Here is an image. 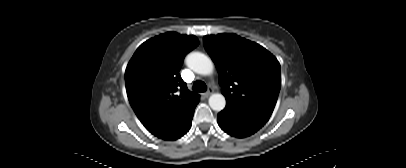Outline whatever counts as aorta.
<instances>
[{"label": "aorta", "mask_w": 406, "mask_h": 168, "mask_svg": "<svg viewBox=\"0 0 406 168\" xmlns=\"http://www.w3.org/2000/svg\"><path fill=\"white\" fill-rule=\"evenodd\" d=\"M186 65L200 75H210L214 70L212 60L200 52L189 53L186 57ZM209 105L212 110L219 112L225 108V97L220 93H214L209 97Z\"/></svg>", "instance_id": "762f6f07"}]
</instances>
